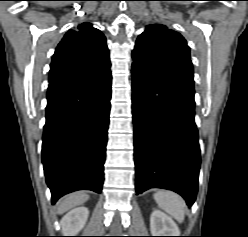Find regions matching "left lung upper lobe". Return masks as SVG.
<instances>
[{"mask_svg": "<svg viewBox=\"0 0 248 237\" xmlns=\"http://www.w3.org/2000/svg\"><path fill=\"white\" fill-rule=\"evenodd\" d=\"M133 64L172 84L194 87L193 65L186 40L176 31L155 24L138 36Z\"/></svg>", "mask_w": 248, "mask_h": 237, "instance_id": "5c2ea615", "label": "left lung upper lobe"}]
</instances>
